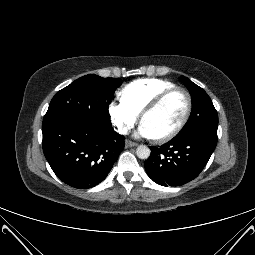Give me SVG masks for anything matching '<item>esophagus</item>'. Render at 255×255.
Returning <instances> with one entry per match:
<instances>
[{"mask_svg":"<svg viewBox=\"0 0 255 255\" xmlns=\"http://www.w3.org/2000/svg\"><path fill=\"white\" fill-rule=\"evenodd\" d=\"M125 145H126V147H134V146L137 145V143L132 142V141H130V140H126V141H125Z\"/></svg>","mask_w":255,"mask_h":255,"instance_id":"1","label":"esophagus"}]
</instances>
